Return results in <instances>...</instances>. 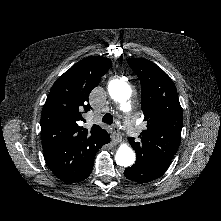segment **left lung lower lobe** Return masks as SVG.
<instances>
[{
    "label": "left lung lower lobe",
    "mask_w": 221,
    "mask_h": 221,
    "mask_svg": "<svg viewBox=\"0 0 221 221\" xmlns=\"http://www.w3.org/2000/svg\"><path fill=\"white\" fill-rule=\"evenodd\" d=\"M168 167L169 165L143 166L134 164L133 166L125 169L124 175L132 181L146 183L160 177L168 169Z\"/></svg>",
    "instance_id": "1"
}]
</instances>
